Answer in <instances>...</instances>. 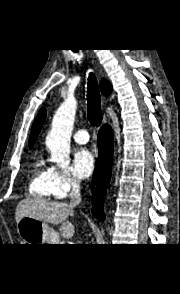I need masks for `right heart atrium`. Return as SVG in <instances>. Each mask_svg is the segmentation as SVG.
I'll return each instance as SVG.
<instances>
[{
  "mask_svg": "<svg viewBox=\"0 0 180 294\" xmlns=\"http://www.w3.org/2000/svg\"><path fill=\"white\" fill-rule=\"evenodd\" d=\"M51 185L54 197L65 198L79 187V180L68 169L52 166Z\"/></svg>",
  "mask_w": 180,
  "mask_h": 294,
  "instance_id": "d8ad5b80",
  "label": "right heart atrium"
}]
</instances>
